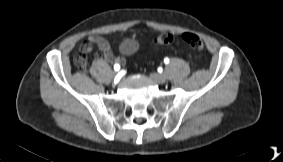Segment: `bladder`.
I'll return each mask as SVG.
<instances>
[{
  "instance_id": "31cf9c89",
  "label": "bladder",
  "mask_w": 283,
  "mask_h": 162,
  "mask_svg": "<svg viewBox=\"0 0 283 162\" xmlns=\"http://www.w3.org/2000/svg\"><path fill=\"white\" fill-rule=\"evenodd\" d=\"M136 50V44L132 40H125L121 44V52L125 55H130Z\"/></svg>"
}]
</instances>
